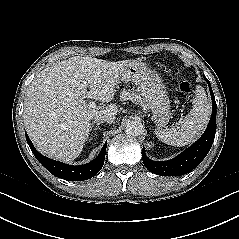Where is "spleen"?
Returning <instances> with one entry per match:
<instances>
[{"label": "spleen", "mask_w": 239, "mask_h": 239, "mask_svg": "<svg viewBox=\"0 0 239 239\" xmlns=\"http://www.w3.org/2000/svg\"><path fill=\"white\" fill-rule=\"evenodd\" d=\"M211 114V106L204 89L196 88L193 106L188 115L181 121L180 129L156 128L155 134L159 140L171 146H185L194 142L205 130Z\"/></svg>", "instance_id": "3e777b00"}]
</instances>
